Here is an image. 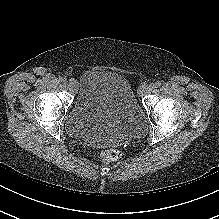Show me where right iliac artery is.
<instances>
[{"label":"right iliac artery","instance_id":"right-iliac-artery-1","mask_svg":"<svg viewBox=\"0 0 219 219\" xmlns=\"http://www.w3.org/2000/svg\"><path fill=\"white\" fill-rule=\"evenodd\" d=\"M58 80H59L60 82L66 81L62 76H60V77L58 78Z\"/></svg>","mask_w":219,"mask_h":219}]
</instances>
